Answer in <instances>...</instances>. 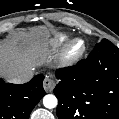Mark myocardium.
I'll return each instance as SVG.
<instances>
[{
	"mask_svg": "<svg viewBox=\"0 0 119 119\" xmlns=\"http://www.w3.org/2000/svg\"><path fill=\"white\" fill-rule=\"evenodd\" d=\"M80 43L81 46L76 49V45ZM87 45L84 39L82 38H73L71 39L63 48L60 62L64 65H71L77 62L86 52Z\"/></svg>",
	"mask_w": 119,
	"mask_h": 119,
	"instance_id": "1",
	"label": "myocardium"
}]
</instances>
